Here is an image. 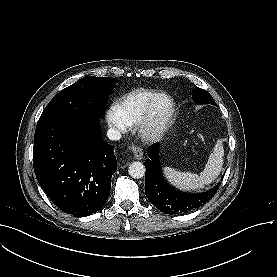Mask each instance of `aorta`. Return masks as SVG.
Here are the masks:
<instances>
[{
    "mask_svg": "<svg viewBox=\"0 0 277 277\" xmlns=\"http://www.w3.org/2000/svg\"><path fill=\"white\" fill-rule=\"evenodd\" d=\"M145 166L139 161H134L129 165V175L134 179H140L145 175Z\"/></svg>",
    "mask_w": 277,
    "mask_h": 277,
    "instance_id": "762f6f07",
    "label": "aorta"
}]
</instances>
